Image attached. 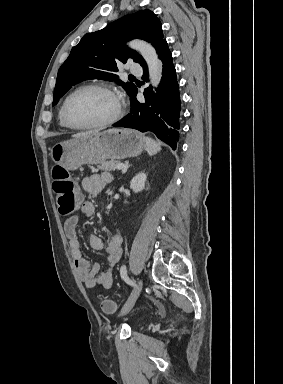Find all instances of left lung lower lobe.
I'll return each instance as SVG.
<instances>
[{
	"mask_svg": "<svg viewBox=\"0 0 283 384\" xmlns=\"http://www.w3.org/2000/svg\"><path fill=\"white\" fill-rule=\"evenodd\" d=\"M158 57L163 62V77L156 93L150 87L146 88L145 102L140 103L136 99V88L131 96L130 113L113 126L133 128L141 132L151 131L175 150L180 135L181 101L176 70L167 42L161 47ZM143 79L148 81L147 66L143 67Z\"/></svg>",
	"mask_w": 283,
	"mask_h": 384,
	"instance_id": "obj_1",
	"label": "left lung lower lobe"
}]
</instances>
